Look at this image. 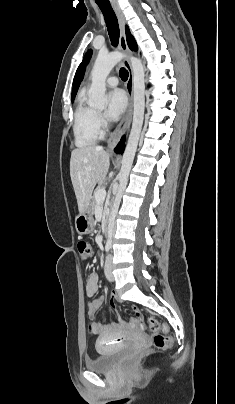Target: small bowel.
Masks as SVG:
<instances>
[{"mask_svg":"<svg viewBox=\"0 0 235 404\" xmlns=\"http://www.w3.org/2000/svg\"><path fill=\"white\" fill-rule=\"evenodd\" d=\"M99 289V276L95 273L89 275L86 285V293L88 296H93ZM105 302V296H100L95 300L91 301L87 306V313L90 318H93L97 311L101 308V306ZM116 299H113L111 302V306L115 308ZM131 329H137L134 326H130ZM90 330L97 335V347L100 344L117 340V336L123 335L126 333L129 328L126 327L122 323H110L104 324L99 322H93L90 324Z\"/></svg>","mask_w":235,"mask_h":404,"instance_id":"1","label":"small bowel"}]
</instances>
